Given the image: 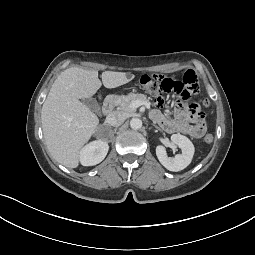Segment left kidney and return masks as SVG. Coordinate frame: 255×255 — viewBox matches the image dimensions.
Masks as SVG:
<instances>
[{
    "label": "left kidney",
    "instance_id": "left-kidney-1",
    "mask_svg": "<svg viewBox=\"0 0 255 255\" xmlns=\"http://www.w3.org/2000/svg\"><path fill=\"white\" fill-rule=\"evenodd\" d=\"M171 141L178 145L182 150L181 154L175 157H169L167 155L166 149L162 145L156 147V155L160 163L168 170L173 172H178L185 169L192 161L194 155V145L192 142L181 134H173L171 136Z\"/></svg>",
    "mask_w": 255,
    "mask_h": 255
}]
</instances>
